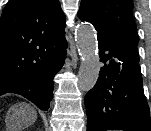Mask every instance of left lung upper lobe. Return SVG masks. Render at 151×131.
<instances>
[{
	"mask_svg": "<svg viewBox=\"0 0 151 131\" xmlns=\"http://www.w3.org/2000/svg\"><path fill=\"white\" fill-rule=\"evenodd\" d=\"M78 17L92 23L98 36L119 54L139 62V37L133 19L132 0H82Z\"/></svg>",
	"mask_w": 151,
	"mask_h": 131,
	"instance_id": "left-lung-upper-lobe-1",
	"label": "left lung upper lobe"
}]
</instances>
